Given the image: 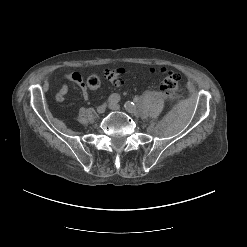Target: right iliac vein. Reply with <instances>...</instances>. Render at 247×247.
<instances>
[{"mask_svg":"<svg viewBox=\"0 0 247 247\" xmlns=\"http://www.w3.org/2000/svg\"><path fill=\"white\" fill-rule=\"evenodd\" d=\"M107 105L106 104H102L100 106L97 107L96 111L98 114H103L106 110Z\"/></svg>","mask_w":247,"mask_h":247,"instance_id":"1","label":"right iliac vein"}]
</instances>
